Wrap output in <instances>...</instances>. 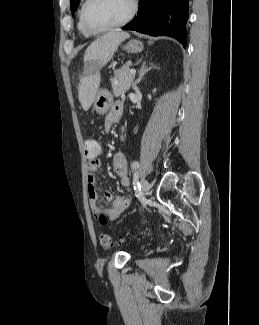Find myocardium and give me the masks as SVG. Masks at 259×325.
I'll use <instances>...</instances> for the list:
<instances>
[{
	"label": "myocardium",
	"mask_w": 259,
	"mask_h": 325,
	"mask_svg": "<svg viewBox=\"0 0 259 325\" xmlns=\"http://www.w3.org/2000/svg\"><path fill=\"white\" fill-rule=\"evenodd\" d=\"M95 2V0H85V4L81 10V22L83 27L91 34H99L103 33L118 27H121L125 24H127L136 14L137 11V2L136 0H131V8L128 14L120 21L104 26V27H94L92 26L87 18V13L90 8V6Z\"/></svg>",
	"instance_id": "f54148a6"
}]
</instances>
